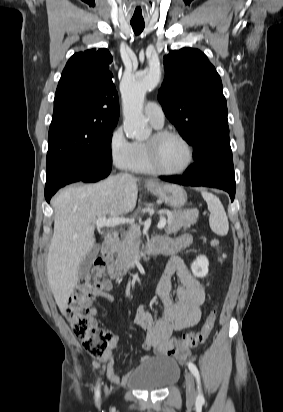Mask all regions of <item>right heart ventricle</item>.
<instances>
[{"mask_svg":"<svg viewBox=\"0 0 283 412\" xmlns=\"http://www.w3.org/2000/svg\"><path fill=\"white\" fill-rule=\"evenodd\" d=\"M128 169L140 174L154 173L148 160L146 142L133 143V157Z\"/></svg>","mask_w":283,"mask_h":412,"instance_id":"right-heart-ventricle-1","label":"right heart ventricle"}]
</instances>
